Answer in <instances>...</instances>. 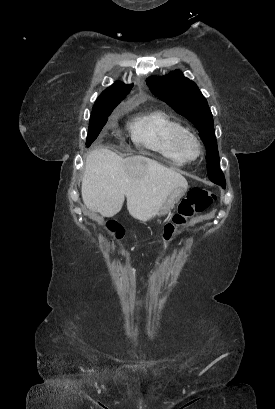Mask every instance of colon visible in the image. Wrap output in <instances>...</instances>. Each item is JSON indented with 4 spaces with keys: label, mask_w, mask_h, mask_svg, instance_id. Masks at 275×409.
I'll return each mask as SVG.
<instances>
[{
    "label": "colon",
    "mask_w": 275,
    "mask_h": 409,
    "mask_svg": "<svg viewBox=\"0 0 275 409\" xmlns=\"http://www.w3.org/2000/svg\"><path fill=\"white\" fill-rule=\"evenodd\" d=\"M215 200V195L206 189L193 188L180 202L178 212L167 222L163 229V239L169 242L175 233L182 229L185 223L195 214L203 216L210 214V205ZM107 232L115 239L123 237V228L118 223H111L107 226Z\"/></svg>",
    "instance_id": "obj_1"
}]
</instances>
